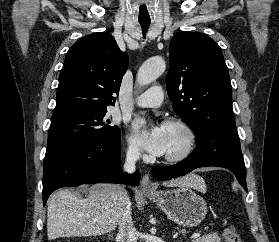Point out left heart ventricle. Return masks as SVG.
Listing matches in <instances>:
<instances>
[{"label": "left heart ventricle", "mask_w": 279, "mask_h": 242, "mask_svg": "<svg viewBox=\"0 0 279 242\" xmlns=\"http://www.w3.org/2000/svg\"><path fill=\"white\" fill-rule=\"evenodd\" d=\"M166 131V152L172 154L180 151L184 145V135L180 129L172 126H165Z\"/></svg>", "instance_id": "obj_1"}]
</instances>
